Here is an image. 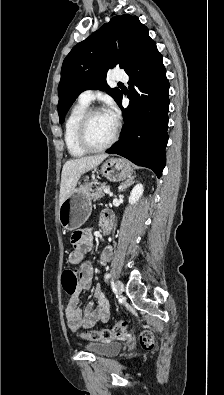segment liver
Masks as SVG:
<instances>
[{
  "mask_svg": "<svg viewBox=\"0 0 224 395\" xmlns=\"http://www.w3.org/2000/svg\"><path fill=\"white\" fill-rule=\"evenodd\" d=\"M107 157V154H100L67 161L63 165L61 174L59 203L61 204L72 193L82 174L97 167Z\"/></svg>",
  "mask_w": 224,
  "mask_h": 395,
  "instance_id": "6515ba94",
  "label": "liver"
}]
</instances>
